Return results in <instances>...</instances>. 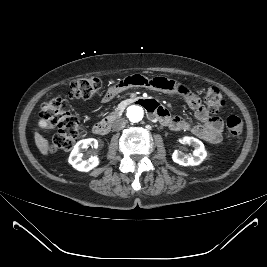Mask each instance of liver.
I'll return each instance as SVG.
<instances>
[{
	"mask_svg": "<svg viewBox=\"0 0 267 267\" xmlns=\"http://www.w3.org/2000/svg\"><path fill=\"white\" fill-rule=\"evenodd\" d=\"M35 144L39 151L43 155H48V152L50 150L49 142L47 139H45L42 135H40L38 132H35L34 134Z\"/></svg>",
	"mask_w": 267,
	"mask_h": 267,
	"instance_id": "1",
	"label": "liver"
}]
</instances>
